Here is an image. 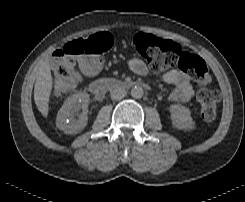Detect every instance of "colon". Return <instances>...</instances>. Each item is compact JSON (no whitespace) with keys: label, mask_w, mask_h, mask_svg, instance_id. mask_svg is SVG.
Masks as SVG:
<instances>
[{"label":"colon","mask_w":245,"mask_h":202,"mask_svg":"<svg viewBox=\"0 0 245 202\" xmlns=\"http://www.w3.org/2000/svg\"><path fill=\"white\" fill-rule=\"evenodd\" d=\"M113 44L112 35L104 32L85 40L68 41L59 46L53 52L56 64L55 87L64 90L74 82V58L95 55L92 60H95L98 65L100 63L98 56L109 51ZM131 46L156 73L163 72L176 64L184 72L190 73L199 86L198 101L202 119L207 122L214 120L220 95L217 90L208 87V68L202 58L187 52L175 41L157 38L144 32L134 35ZM84 68L89 71L87 65H84Z\"/></svg>","instance_id":"colon-1"}]
</instances>
